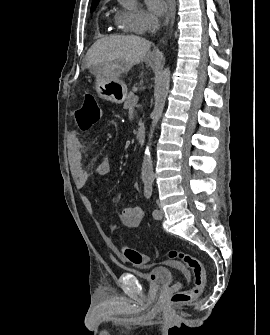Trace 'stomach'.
<instances>
[{
  "mask_svg": "<svg viewBox=\"0 0 270 335\" xmlns=\"http://www.w3.org/2000/svg\"><path fill=\"white\" fill-rule=\"evenodd\" d=\"M95 74V90L102 100L113 104H122L126 100L127 86L122 80H116L114 67H99Z\"/></svg>",
  "mask_w": 270,
  "mask_h": 335,
  "instance_id": "0dacf381",
  "label": "stomach"
}]
</instances>
